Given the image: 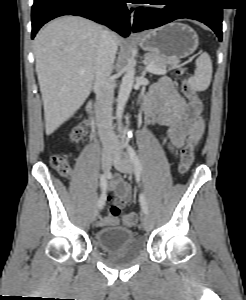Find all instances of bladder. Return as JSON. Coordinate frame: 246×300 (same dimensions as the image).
<instances>
[{
    "label": "bladder",
    "mask_w": 246,
    "mask_h": 300,
    "mask_svg": "<svg viewBox=\"0 0 246 300\" xmlns=\"http://www.w3.org/2000/svg\"><path fill=\"white\" fill-rule=\"evenodd\" d=\"M95 243L109 259L125 262L136 258L141 252V242L129 228L114 226L96 232Z\"/></svg>",
    "instance_id": "31cf9c89"
}]
</instances>
